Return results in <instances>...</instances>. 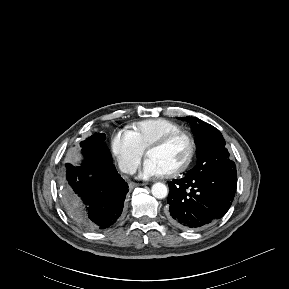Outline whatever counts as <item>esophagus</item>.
Masks as SVG:
<instances>
[{
	"instance_id": "esophagus-1",
	"label": "esophagus",
	"mask_w": 289,
	"mask_h": 289,
	"mask_svg": "<svg viewBox=\"0 0 289 289\" xmlns=\"http://www.w3.org/2000/svg\"><path fill=\"white\" fill-rule=\"evenodd\" d=\"M137 186H140V184H139V183H135V182H130V183H129L130 189H133V188H135V187H137Z\"/></svg>"
}]
</instances>
